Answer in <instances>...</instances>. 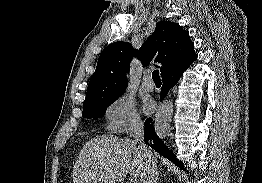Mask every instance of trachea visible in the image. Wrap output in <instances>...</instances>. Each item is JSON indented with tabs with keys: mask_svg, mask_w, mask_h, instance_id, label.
Wrapping results in <instances>:
<instances>
[{
	"mask_svg": "<svg viewBox=\"0 0 262 183\" xmlns=\"http://www.w3.org/2000/svg\"><path fill=\"white\" fill-rule=\"evenodd\" d=\"M152 79L154 82H161L159 70H154L152 73Z\"/></svg>",
	"mask_w": 262,
	"mask_h": 183,
	"instance_id": "1",
	"label": "trachea"
}]
</instances>
